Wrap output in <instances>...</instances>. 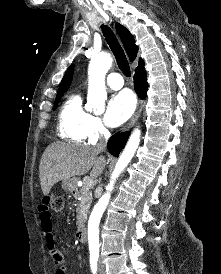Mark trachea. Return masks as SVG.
Returning <instances> with one entry per match:
<instances>
[{"label": "trachea", "mask_w": 221, "mask_h": 274, "mask_svg": "<svg viewBox=\"0 0 221 274\" xmlns=\"http://www.w3.org/2000/svg\"><path fill=\"white\" fill-rule=\"evenodd\" d=\"M101 28H102L103 35L115 56V59H116L119 69L122 71V73L126 77H130L131 71H130V66H129L128 60L126 58L124 50L122 49L120 43L118 42L115 34L106 25L105 26L102 25Z\"/></svg>", "instance_id": "trachea-1"}]
</instances>
